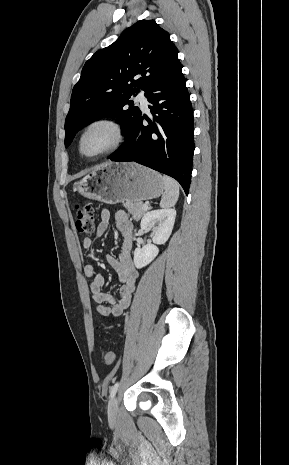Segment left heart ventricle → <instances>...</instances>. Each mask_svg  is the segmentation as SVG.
<instances>
[{
  "mask_svg": "<svg viewBox=\"0 0 289 465\" xmlns=\"http://www.w3.org/2000/svg\"><path fill=\"white\" fill-rule=\"evenodd\" d=\"M114 135L112 131L104 126H96L92 128L82 141V151L85 154L97 153L113 141Z\"/></svg>",
  "mask_w": 289,
  "mask_h": 465,
  "instance_id": "obj_1",
  "label": "left heart ventricle"
}]
</instances>
